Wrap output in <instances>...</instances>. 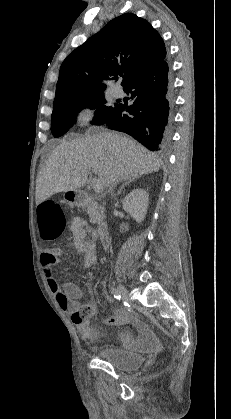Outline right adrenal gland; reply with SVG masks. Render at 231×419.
I'll list each match as a JSON object with an SVG mask.
<instances>
[{"label":"right adrenal gland","instance_id":"1","mask_svg":"<svg viewBox=\"0 0 231 419\" xmlns=\"http://www.w3.org/2000/svg\"><path fill=\"white\" fill-rule=\"evenodd\" d=\"M139 177L140 176L133 177V178L129 179L128 181H126L125 183H123L122 186L120 187V189L118 190L117 195H120L122 193V190L124 189L125 186H127L130 183L134 182Z\"/></svg>","mask_w":231,"mask_h":419}]
</instances>
